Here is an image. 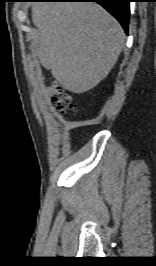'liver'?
Here are the masks:
<instances>
[{
  "label": "liver",
  "mask_w": 156,
  "mask_h": 266,
  "mask_svg": "<svg viewBox=\"0 0 156 266\" xmlns=\"http://www.w3.org/2000/svg\"><path fill=\"white\" fill-rule=\"evenodd\" d=\"M32 21L38 30L34 54L63 88L77 94L110 73L125 44L118 21L92 2H39L32 5Z\"/></svg>",
  "instance_id": "6515ba94"
}]
</instances>
